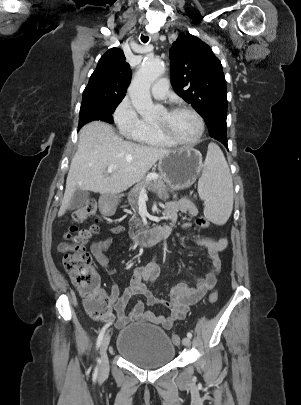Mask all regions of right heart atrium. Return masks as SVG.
<instances>
[{
    "mask_svg": "<svg viewBox=\"0 0 301 405\" xmlns=\"http://www.w3.org/2000/svg\"><path fill=\"white\" fill-rule=\"evenodd\" d=\"M113 118L119 130L127 136H131L140 129L144 122L128 98H124L118 104Z\"/></svg>",
    "mask_w": 301,
    "mask_h": 405,
    "instance_id": "obj_1",
    "label": "right heart atrium"
}]
</instances>
